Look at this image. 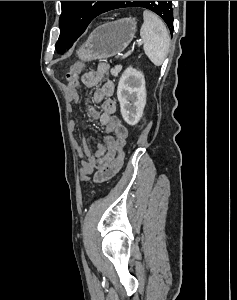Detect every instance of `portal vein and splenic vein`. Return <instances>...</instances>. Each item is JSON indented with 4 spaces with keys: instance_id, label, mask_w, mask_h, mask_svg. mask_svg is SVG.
Returning a JSON list of instances; mask_svg holds the SVG:
<instances>
[{
    "instance_id": "18ae733b",
    "label": "portal vein and splenic vein",
    "mask_w": 237,
    "mask_h": 300,
    "mask_svg": "<svg viewBox=\"0 0 237 300\" xmlns=\"http://www.w3.org/2000/svg\"><path fill=\"white\" fill-rule=\"evenodd\" d=\"M137 43H138V45H142V41H137ZM135 51H136V48H133V50H130L129 51L130 53H127V57L126 58H130V56L132 55V53H135ZM122 58H125V57H122ZM116 63H118V62H116ZM119 63H121V62H119Z\"/></svg>"
}]
</instances>
